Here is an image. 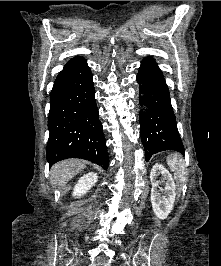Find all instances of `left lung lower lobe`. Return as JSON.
<instances>
[{"mask_svg": "<svg viewBox=\"0 0 221 266\" xmlns=\"http://www.w3.org/2000/svg\"><path fill=\"white\" fill-rule=\"evenodd\" d=\"M136 78L143 94L139 103L146 106L139 117L146 161L153 154L165 150H175L184 155V146L162 71L156 64L142 61Z\"/></svg>", "mask_w": 221, "mask_h": 266, "instance_id": "left-lung-lower-lobe-1", "label": "left lung lower lobe"}]
</instances>
